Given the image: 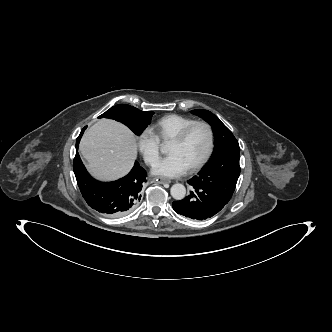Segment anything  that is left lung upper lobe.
<instances>
[{"instance_id": "left-lung-upper-lobe-1", "label": "left lung upper lobe", "mask_w": 332, "mask_h": 332, "mask_svg": "<svg viewBox=\"0 0 332 332\" xmlns=\"http://www.w3.org/2000/svg\"><path fill=\"white\" fill-rule=\"evenodd\" d=\"M191 112L211 125L215 139L214 154L196 177H199V180H202L210 189L230 200L240 174L238 141L210 111L196 109Z\"/></svg>"}]
</instances>
